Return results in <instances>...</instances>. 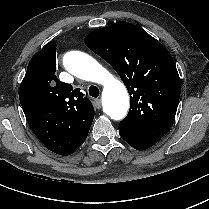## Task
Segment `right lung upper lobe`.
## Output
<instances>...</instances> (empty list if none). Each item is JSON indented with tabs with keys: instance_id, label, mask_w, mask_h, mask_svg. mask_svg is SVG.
I'll list each match as a JSON object with an SVG mask.
<instances>
[{
	"instance_id": "cb5924a9",
	"label": "right lung upper lobe",
	"mask_w": 209,
	"mask_h": 209,
	"mask_svg": "<svg viewBox=\"0 0 209 209\" xmlns=\"http://www.w3.org/2000/svg\"><path fill=\"white\" fill-rule=\"evenodd\" d=\"M56 43H47L28 64L19 89L23 111L47 108V126L57 128L55 137L62 144L77 148L85 141L94 118L91 101L80 89L62 83L55 76ZM56 82L52 87V83Z\"/></svg>"
}]
</instances>
